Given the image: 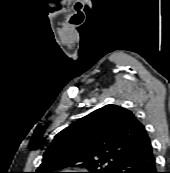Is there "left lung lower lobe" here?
Masks as SVG:
<instances>
[{"label": "left lung lower lobe", "instance_id": "0a47b994", "mask_svg": "<svg viewBox=\"0 0 170 173\" xmlns=\"http://www.w3.org/2000/svg\"><path fill=\"white\" fill-rule=\"evenodd\" d=\"M113 173H158L151 143L143 150L128 155Z\"/></svg>", "mask_w": 170, "mask_h": 173}]
</instances>
